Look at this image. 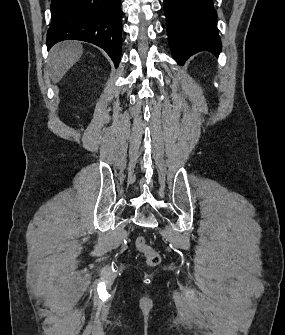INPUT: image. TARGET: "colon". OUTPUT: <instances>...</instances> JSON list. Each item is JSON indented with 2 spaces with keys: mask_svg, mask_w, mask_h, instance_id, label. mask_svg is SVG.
<instances>
[{
  "mask_svg": "<svg viewBox=\"0 0 285 335\" xmlns=\"http://www.w3.org/2000/svg\"><path fill=\"white\" fill-rule=\"evenodd\" d=\"M135 247L144 255L145 261L149 266H156L160 263V253L155 248L150 246L143 236H138L135 239Z\"/></svg>",
  "mask_w": 285,
  "mask_h": 335,
  "instance_id": "1",
  "label": "colon"
}]
</instances>
